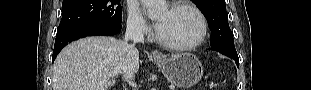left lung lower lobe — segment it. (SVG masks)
Listing matches in <instances>:
<instances>
[{
	"mask_svg": "<svg viewBox=\"0 0 311 90\" xmlns=\"http://www.w3.org/2000/svg\"><path fill=\"white\" fill-rule=\"evenodd\" d=\"M210 50H215V51H218L232 59H234V61L236 62L237 66H239V59H238V55L237 53H230V52H227V51H224V50H219V49H214V48H209Z\"/></svg>",
	"mask_w": 311,
	"mask_h": 90,
	"instance_id": "1",
	"label": "left lung lower lobe"
}]
</instances>
